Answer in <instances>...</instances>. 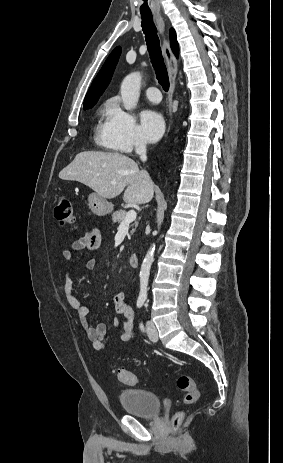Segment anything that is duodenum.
Wrapping results in <instances>:
<instances>
[{
  "label": "duodenum",
  "mask_w": 283,
  "mask_h": 463,
  "mask_svg": "<svg viewBox=\"0 0 283 463\" xmlns=\"http://www.w3.org/2000/svg\"><path fill=\"white\" fill-rule=\"evenodd\" d=\"M129 264L132 268H135L138 264V257L136 255H131L129 258Z\"/></svg>",
  "instance_id": "obj_1"
}]
</instances>
